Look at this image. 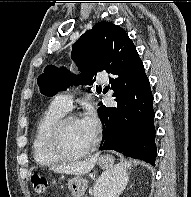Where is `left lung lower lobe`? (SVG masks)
<instances>
[{"label":"left lung lower lobe","instance_id":"1","mask_svg":"<svg viewBox=\"0 0 191 197\" xmlns=\"http://www.w3.org/2000/svg\"><path fill=\"white\" fill-rule=\"evenodd\" d=\"M115 108L102 106L99 110L104 144L100 150H116L125 156L141 159L155 165L156 144L153 95L144 66L134 71L112 73Z\"/></svg>","mask_w":191,"mask_h":197}]
</instances>
